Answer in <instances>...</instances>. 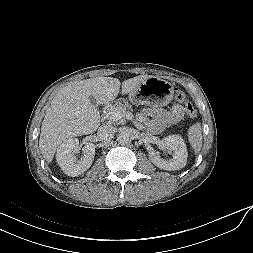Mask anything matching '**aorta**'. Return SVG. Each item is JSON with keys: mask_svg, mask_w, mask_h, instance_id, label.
<instances>
[{"mask_svg": "<svg viewBox=\"0 0 253 253\" xmlns=\"http://www.w3.org/2000/svg\"><path fill=\"white\" fill-rule=\"evenodd\" d=\"M117 141L121 145L127 144L130 141V135L125 131L120 132L117 136Z\"/></svg>", "mask_w": 253, "mask_h": 253, "instance_id": "1", "label": "aorta"}]
</instances>
